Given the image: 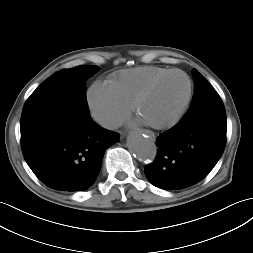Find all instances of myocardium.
I'll use <instances>...</instances> for the list:
<instances>
[{"label": "myocardium", "mask_w": 253, "mask_h": 253, "mask_svg": "<svg viewBox=\"0 0 253 253\" xmlns=\"http://www.w3.org/2000/svg\"><path fill=\"white\" fill-rule=\"evenodd\" d=\"M174 74H180L186 79V81H187L186 96H185L180 108L176 112V114L167 122L154 124V123H147L144 121L148 126L154 128V129L164 130V129L171 128L172 126L177 124L180 121V119L183 117V115L185 114V112L188 108V105L191 101L192 93H193V83H192L190 76L186 72L179 70V69L169 70V71L165 72L164 74L153 79L144 89L141 90V92L136 96V98L133 101L132 109L135 112V114H137L139 116L140 106H141L142 102L144 101V99L154 90V88L161 81H163L167 77L174 75Z\"/></svg>", "instance_id": "f54148a6"}]
</instances>
